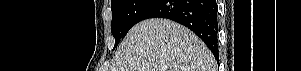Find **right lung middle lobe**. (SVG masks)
Wrapping results in <instances>:
<instances>
[{
  "label": "right lung middle lobe",
  "mask_w": 301,
  "mask_h": 71,
  "mask_svg": "<svg viewBox=\"0 0 301 71\" xmlns=\"http://www.w3.org/2000/svg\"><path fill=\"white\" fill-rule=\"evenodd\" d=\"M155 0H112L111 33L115 46L125 37L132 26L140 21V16Z\"/></svg>",
  "instance_id": "1"
}]
</instances>
